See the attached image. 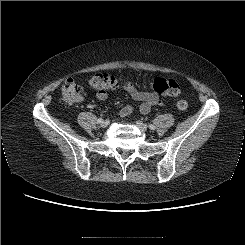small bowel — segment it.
<instances>
[{
  "instance_id": "1",
  "label": "small bowel",
  "mask_w": 245,
  "mask_h": 245,
  "mask_svg": "<svg viewBox=\"0 0 245 245\" xmlns=\"http://www.w3.org/2000/svg\"><path fill=\"white\" fill-rule=\"evenodd\" d=\"M130 96L131 98L138 103V109L142 114H148L151 108L155 105L164 106L165 101L160 98V96L156 92H148L139 90L134 83L129 82L121 86ZM96 97L98 100H106L108 98L107 91H97ZM136 108L135 104L125 105L121 109V116L126 117L130 115Z\"/></svg>"
}]
</instances>
